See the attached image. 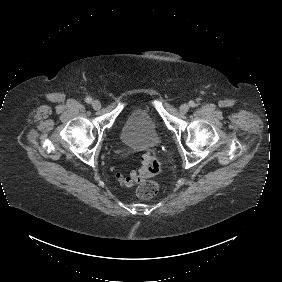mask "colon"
Wrapping results in <instances>:
<instances>
[{
  "mask_svg": "<svg viewBox=\"0 0 282 282\" xmlns=\"http://www.w3.org/2000/svg\"><path fill=\"white\" fill-rule=\"evenodd\" d=\"M161 172V163L158 157L152 153L146 154L144 157L143 166L140 172L132 175H124L120 171H115V177L123 187H132L137 181L141 179L157 176ZM160 185L154 181L148 184L141 185L138 189H135V193L138 198L149 200L157 195Z\"/></svg>",
  "mask_w": 282,
  "mask_h": 282,
  "instance_id": "5ec220e1",
  "label": "colon"
}]
</instances>
